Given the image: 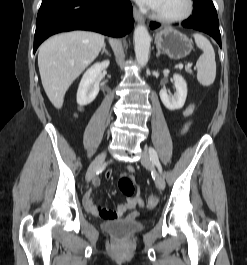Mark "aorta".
I'll return each mask as SVG.
<instances>
[{
	"label": "aorta",
	"mask_w": 247,
	"mask_h": 265,
	"mask_svg": "<svg viewBox=\"0 0 247 265\" xmlns=\"http://www.w3.org/2000/svg\"><path fill=\"white\" fill-rule=\"evenodd\" d=\"M134 46L137 62L144 66L149 59L150 36L143 25H137L134 31Z\"/></svg>",
	"instance_id": "762f6f07"
}]
</instances>
